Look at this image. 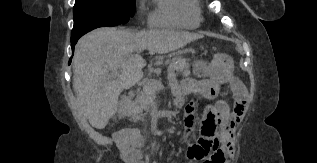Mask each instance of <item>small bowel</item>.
<instances>
[{"label":"small bowel","instance_id":"1","mask_svg":"<svg viewBox=\"0 0 317 163\" xmlns=\"http://www.w3.org/2000/svg\"><path fill=\"white\" fill-rule=\"evenodd\" d=\"M220 83L215 78H208L197 83L194 80H186L173 87L175 105L185 109V126L190 132L197 127L194 101L186 103L190 96H200L207 100L216 97ZM247 100L240 104H235L231 112L226 104L223 103V113L220 116L218 128L215 132H205L200 128V135L194 143L190 144L186 159L191 163H227V147L232 145L231 134L243 119L247 111ZM137 132L128 129L118 135L117 141L121 144V154L125 163H140L134 155V142Z\"/></svg>","mask_w":317,"mask_h":163}]
</instances>
